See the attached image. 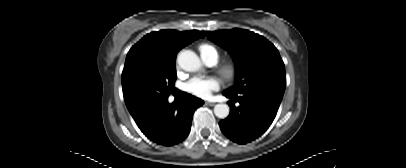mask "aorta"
I'll use <instances>...</instances> for the list:
<instances>
[{"label":"aorta","instance_id":"762f6f07","mask_svg":"<svg viewBox=\"0 0 406 168\" xmlns=\"http://www.w3.org/2000/svg\"><path fill=\"white\" fill-rule=\"evenodd\" d=\"M179 66L188 72H196L201 69L199 57L191 50H183L177 58ZM230 109L226 104H217L214 106V114L220 119H224L229 115Z\"/></svg>","mask_w":406,"mask_h":168}]
</instances>
